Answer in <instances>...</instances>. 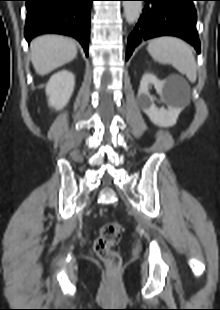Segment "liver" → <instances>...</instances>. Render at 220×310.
Wrapping results in <instances>:
<instances>
[{"instance_id":"obj_1","label":"liver","mask_w":220,"mask_h":310,"mask_svg":"<svg viewBox=\"0 0 220 310\" xmlns=\"http://www.w3.org/2000/svg\"><path fill=\"white\" fill-rule=\"evenodd\" d=\"M31 61L37 74L44 76L72 61L77 55L73 40L59 35H43L30 45Z\"/></svg>"}]
</instances>
